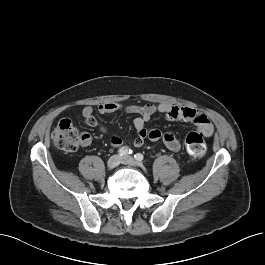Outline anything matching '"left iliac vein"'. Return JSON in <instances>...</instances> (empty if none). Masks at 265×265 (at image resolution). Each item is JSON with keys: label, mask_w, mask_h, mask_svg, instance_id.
Masks as SVG:
<instances>
[{"label": "left iliac vein", "mask_w": 265, "mask_h": 265, "mask_svg": "<svg viewBox=\"0 0 265 265\" xmlns=\"http://www.w3.org/2000/svg\"><path fill=\"white\" fill-rule=\"evenodd\" d=\"M121 162L130 166H139L140 164L134 160L131 156H124L121 158Z\"/></svg>", "instance_id": "1"}]
</instances>
